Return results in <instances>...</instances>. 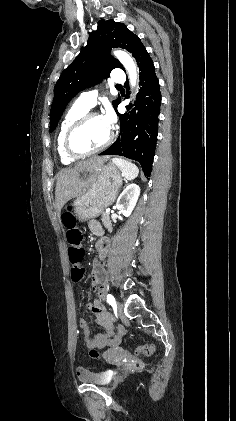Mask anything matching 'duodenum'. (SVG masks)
<instances>
[{"label":"duodenum","instance_id":"duodenum-1","mask_svg":"<svg viewBox=\"0 0 236 421\" xmlns=\"http://www.w3.org/2000/svg\"><path fill=\"white\" fill-rule=\"evenodd\" d=\"M108 248H109V241L107 238L102 237L98 243V250L101 254L102 257H104L106 255V253L108 252ZM93 280L95 282L96 285H98L99 287V293L101 296H103V293L105 291V282H106V271L104 269V267L102 266V264L100 262H96L94 264L93 267ZM92 310L96 313L99 314V310H97L96 308H92ZM99 322L100 324L106 328L108 330V321L105 319V317L101 316L99 318ZM82 330L84 332V334L88 335V328L86 325L82 326ZM94 341H96L99 345L103 344V343H107L110 340L107 337H96L94 339Z\"/></svg>","mask_w":236,"mask_h":421}]
</instances>
